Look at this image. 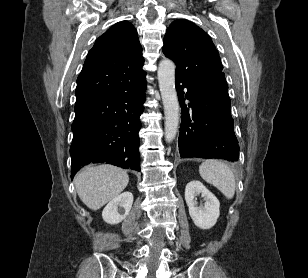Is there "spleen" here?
I'll return each instance as SVG.
<instances>
[{"label":"spleen","instance_id":"3e777b00","mask_svg":"<svg viewBox=\"0 0 308 278\" xmlns=\"http://www.w3.org/2000/svg\"><path fill=\"white\" fill-rule=\"evenodd\" d=\"M199 173L207 183L215 186L226 198L234 197L235 176L227 164L216 159H208L199 166Z\"/></svg>","mask_w":308,"mask_h":278}]
</instances>
